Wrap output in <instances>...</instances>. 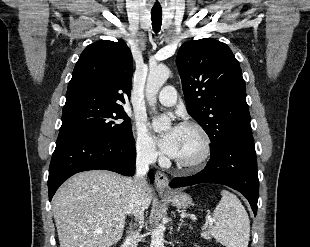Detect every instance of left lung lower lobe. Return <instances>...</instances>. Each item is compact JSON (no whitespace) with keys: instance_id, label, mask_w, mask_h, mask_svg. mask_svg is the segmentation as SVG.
Masks as SVG:
<instances>
[{"instance_id":"left-lung-lower-lobe-1","label":"left lung lower lobe","mask_w":310,"mask_h":247,"mask_svg":"<svg viewBox=\"0 0 310 247\" xmlns=\"http://www.w3.org/2000/svg\"><path fill=\"white\" fill-rule=\"evenodd\" d=\"M199 183L224 184L241 192L256 215L259 180L253 136L234 138L218 150L211 151L210 160L201 172L191 177L174 178L170 186L176 188Z\"/></svg>"}]
</instances>
